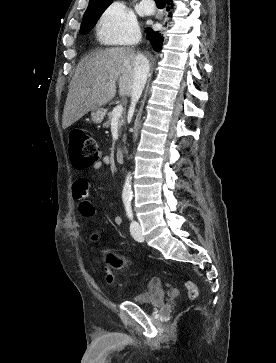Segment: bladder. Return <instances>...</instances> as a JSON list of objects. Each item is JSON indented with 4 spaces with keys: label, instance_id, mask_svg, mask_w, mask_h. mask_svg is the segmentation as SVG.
Masks as SVG:
<instances>
[{
    "label": "bladder",
    "instance_id": "obj_1",
    "mask_svg": "<svg viewBox=\"0 0 276 363\" xmlns=\"http://www.w3.org/2000/svg\"><path fill=\"white\" fill-rule=\"evenodd\" d=\"M166 297V289L163 286L149 285L144 291L135 296L131 301L145 306L155 307L161 305Z\"/></svg>",
    "mask_w": 276,
    "mask_h": 363
}]
</instances>
